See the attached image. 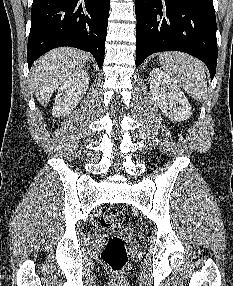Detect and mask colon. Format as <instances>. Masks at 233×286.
I'll use <instances>...</instances> for the list:
<instances>
[{"label":"colon","instance_id":"colon-1","mask_svg":"<svg viewBox=\"0 0 233 286\" xmlns=\"http://www.w3.org/2000/svg\"><path fill=\"white\" fill-rule=\"evenodd\" d=\"M125 221L122 211L110 208L104 211L100 223L104 227H118ZM101 259L114 273H119L125 267L128 255L123 239L119 236H111L101 252Z\"/></svg>","mask_w":233,"mask_h":286}]
</instances>
